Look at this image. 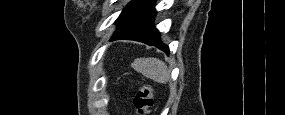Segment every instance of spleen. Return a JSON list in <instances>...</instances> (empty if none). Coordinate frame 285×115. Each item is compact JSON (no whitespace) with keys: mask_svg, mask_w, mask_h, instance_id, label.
<instances>
[{"mask_svg":"<svg viewBox=\"0 0 285 115\" xmlns=\"http://www.w3.org/2000/svg\"><path fill=\"white\" fill-rule=\"evenodd\" d=\"M135 71L158 83L166 84L170 79L167 65L158 58H137L132 63Z\"/></svg>","mask_w":285,"mask_h":115,"instance_id":"spleen-1","label":"spleen"}]
</instances>
